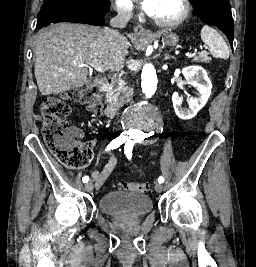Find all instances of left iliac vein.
<instances>
[{
    "mask_svg": "<svg viewBox=\"0 0 256 267\" xmlns=\"http://www.w3.org/2000/svg\"><path fill=\"white\" fill-rule=\"evenodd\" d=\"M155 190H156L158 193L162 192V191H163V186H162V184H161V183H156V184H155Z\"/></svg>",
    "mask_w": 256,
    "mask_h": 267,
    "instance_id": "obj_1",
    "label": "left iliac vein"
}]
</instances>
